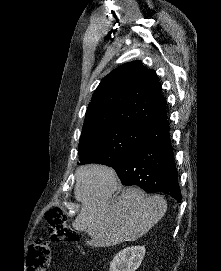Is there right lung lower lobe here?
Returning a JSON list of instances; mask_svg holds the SVG:
<instances>
[{
	"mask_svg": "<svg viewBox=\"0 0 221 271\" xmlns=\"http://www.w3.org/2000/svg\"><path fill=\"white\" fill-rule=\"evenodd\" d=\"M167 118L150 126L141 141L111 165L124 186H139L148 193L163 192L178 202L181 191L174 162Z\"/></svg>",
	"mask_w": 221,
	"mask_h": 271,
	"instance_id": "right-lung-lower-lobe-1",
	"label": "right lung lower lobe"
}]
</instances>
